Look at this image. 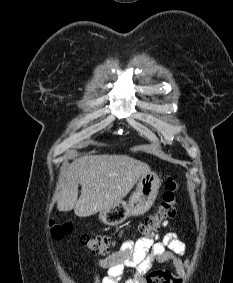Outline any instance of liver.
<instances>
[{
	"label": "liver",
	"instance_id": "liver-1",
	"mask_svg": "<svg viewBox=\"0 0 233 283\" xmlns=\"http://www.w3.org/2000/svg\"><path fill=\"white\" fill-rule=\"evenodd\" d=\"M148 164L127 155H90L74 161L66 170L62 190L57 197L59 211L74 209L79 217H88L111 208L131 191ZM81 195L78 199V186Z\"/></svg>",
	"mask_w": 233,
	"mask_h": 283
}]
</instances>
